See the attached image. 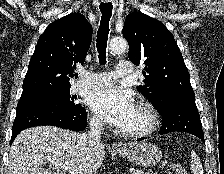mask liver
I'll use <instances>...</instances> for the list:
<instances>
[{"label":"liver","instance_id":"1","mask_svg":"<svg viewBox=\"0 0 224 174\" xmlns=\"http://www.w3.org/2000/svg\"><path fill=\"white\" fill-rule=\"evenodd\" d=\"M81 135L54 126L23 130L11 146L9 174H51L43 166L47 162L57 169L54 174H67L56 163L67 164L81 174H92L101 167L105 148H88Z\"/></svg>","mask_w":224,"mask_h":174}]
</instances>
